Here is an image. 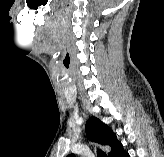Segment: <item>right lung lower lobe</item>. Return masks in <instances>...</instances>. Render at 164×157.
<instances>
[{"label": "right lung lower lobe", "mask_w": 164, "mask_h": 157, "mask_svg": "<svg viewBox=\"0 0 164 157\" xmlns=\"http://www.w3.org/2000/svg\"><path fill=\"white\" fill-rule=\"evenodd\" d=\"M112 157H130V155L123 149V146L120 143V145L114 151Z\"/></svg>", "instance_id": "1"}]
</instances>
